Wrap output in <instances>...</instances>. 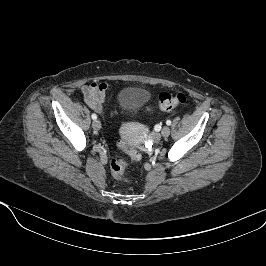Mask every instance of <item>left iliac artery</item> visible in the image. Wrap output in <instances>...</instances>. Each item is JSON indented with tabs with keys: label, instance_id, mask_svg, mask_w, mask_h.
<instances>
[{
	"label": "left iliac artery",
	"instance_id": "obj_1",
	"mask_svg": "<svg viewBox=\"0 0 266 266\" xmlns=\"http://www.w3.org/2000/svg\"><path fill=\"white\" fill-rule=\"evenodd\" d=\"M166 124H167V125H171V121H170V120H167V121H166Z\"/></svg>",
	"mask_w": 266,
	"mask_h": 266
}]
</instances>
